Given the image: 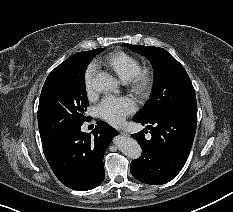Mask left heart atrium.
Masks as SVG:
<instances>
[{
  "instance_id": "left-heart-atrium-1",
  "label": "left heart atrium",
  "mask_w": 233,
  "mask_h": 212,
  "mask_svg": "<svg viewBox=\"0 0 233 212\" xmlns=\"http://www.w3.org/2000/svg\"><path fill=\"white\" fill-rule=\"evenodd\" d=\"M134 111L135 103L129 97H106L97 107L98 115L116 126Z\"/></svg>"
}]
</instances>
